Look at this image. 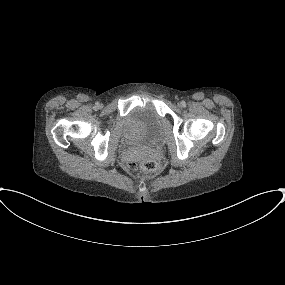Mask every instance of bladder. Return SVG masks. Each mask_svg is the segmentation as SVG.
<instances>
[{"label": "bladder", "instance_id": "31cf9c89", "mask_svg": "<svg viewBox=\"0 0 285 285\" xmlns=\"http://www.w3.org/2000/svg\"><path fill=\"white\" fill-rule=\"evenodd\" d=\"M161 117L153 102L137 104L128 114L126 120V141L129 145L135 142L155 137L158 144L162 143L160 132Z\"/></svg>", "mask_w": 285, "mask_h": 285}]
</instances>
